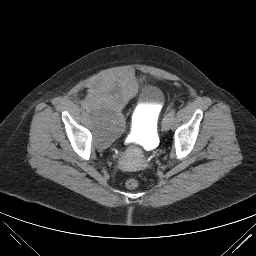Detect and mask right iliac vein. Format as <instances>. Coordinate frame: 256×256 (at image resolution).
Here are the masks:
<instances>
[{
	"label": "right iliac vein",
	"instance_id": "1",
	"mask_svg": "<svg viewBox=\"0 0 256 256\" xmlns=\"http://www.w3.org/2000/svg\"><path fill=\"white\" fill-rule=\"evenodd\" d=\"M85 113H86L87 115H90V114L92 113V110H91L90 108H87V109L85 110Z\"/></svg>",
	"mask_w": 256,
	"mask_h": 256
}]
</instances>
